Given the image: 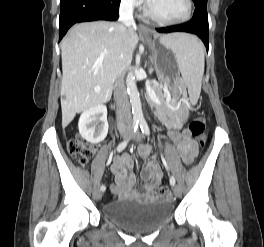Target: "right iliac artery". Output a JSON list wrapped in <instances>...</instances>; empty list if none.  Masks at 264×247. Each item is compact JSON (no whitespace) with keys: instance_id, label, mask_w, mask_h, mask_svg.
Masks as SVG:
<instances>
[{"instance_id":"right-iliac-artery-1","label":"right iliac artery","mask_w":264,"mask_h":247,"mask_svg":"<svg viewBox=\"0 0 264 247\" xmlns=\"http://www.w3.org/2000/svg\"><path fill=\"white\" fill-rule=\"evenodd\" d=\"M138 125H139V121H134V122H133V126H132V134H131V136H130L129 138L125 139L124 141H122V142L117 146V151H118V152H121V151H123V150L126 148V146H127V144L129 143L131 137L136 133V131H137V129H138ZM105 189H106L105 185H102V186L100 187V190H101V191H105Z\"/></svg>"}]
</instances>
